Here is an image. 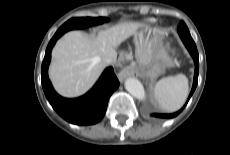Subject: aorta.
I'll list each match as a JSON object with an SVG mask.
<instances>
[{
    "label": "aorta",
    "mask_w": 230,
    "mask_h": 155,
    "mask_svg": "<svg viewBox=\"0 0 230 155\" xmlns=\"http://www.w3.org/2000/svg\"><path fill=\"white\" fill-rule=\"evenodd\" d=\"M125 89L138 100L145 99V90L142 83L136 78H128L125 80Z\"/></svg>",
    "instance_id": "obj_1"
}]
</instances>
